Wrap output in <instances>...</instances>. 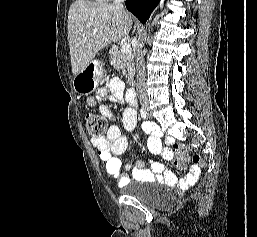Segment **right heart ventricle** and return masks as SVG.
I'll list each match as a JSON object with an SVG mask.
<instances>
[{
  "label": "right heart ventricle",
  "instance_id": "right-heart-ventricle-1",
  "mask_svg": "<svg viewBox=\"0 0 257 237\" xmlns=\"http://www.w3.org/2000/svg\"><path fill=\"white\" fill-rule=\"evenodd\" d=\"M96 2H103V1H108V0H94Z\"/></svg>",
  "mask_w": 257,
  "mask_h": 237
}]
</instances>
